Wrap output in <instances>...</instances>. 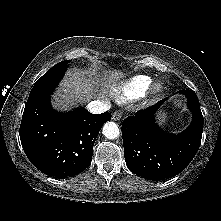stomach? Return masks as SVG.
Wrapping results in <instances>:
<instances>
[{
	"mask_svg": "<svg viewBox=\"0 0 221 221\" xmlns=\"http://www.w3.org/2000/svg\"><path fill=\"white\" fill-rule=\"evenodd\" d=\"M158 121H159V124H160V125L165 124V122H166V114H165V112H160V113H159V115H158Z\"/></svg>",
	"mask_w": 221,
	"mask_h": 221,
	"instance_id": "1",
	"label": "stomach"
}]
</instances>
